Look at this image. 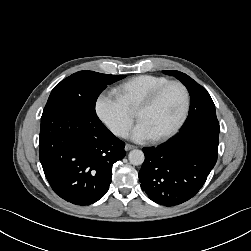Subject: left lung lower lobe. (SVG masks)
<instances>
[{"instance_id":"1","label":"left lung lower lobe","mask_w":251,"mask_h":251,"mask_svg":"<svg viewBox=\"0 0 251 251\" xmlns=\"http://www.w3.org/2000/svg\"><path fill=\"white\" fill-rule=\"evenodd\" d=\"M219 131V123H200L156 148H143L139 181L149 198L173 206L195 196L217 161Z\"/></svg>"}]
</instances>
